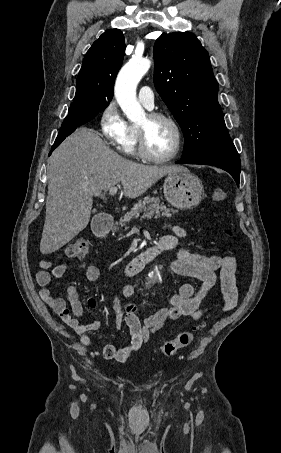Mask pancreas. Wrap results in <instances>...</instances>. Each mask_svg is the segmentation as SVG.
Segmentation results:
<instances>
[{
    "label": "pancreas",
    "mask_w": 281,
    "mask_h": 453,
    "mask_svg": "<svg viewBox=\"0 0 281 453\" xmlns=\"http://www.w3.org/2000/svg\"><path fill=\"white\" fill-rule=\"evenodd\" d=\"M170 210L173 208H167L164 202H160L158 196H144L143 200H138L134 206H132L130 212H126L123 218H120V227H126V222H131L132 218L140 216V212H144L142 218H159V216H172ZM120 227H113V231H118Z\"/></svg>",
    "instance_id": "1"
}]
</instances>
